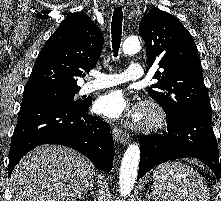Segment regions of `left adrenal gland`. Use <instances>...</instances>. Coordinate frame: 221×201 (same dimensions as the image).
Wrapping results in <instances>:
<instances>
[{"label": "left adrenal gland", "mask_w": 221, "mask_h": 201, "mask_svg": "<svg viewBox=\"0 0 221 201\" xmlns=\"http://www.w3.org/2000/svg\"><path fill=\"white\" fill-rule=\"evenodd\" d=\"M149 198H153V195H152V194L148 195V199H149Z\"/></svg>", "instance_id": "obj_1"}]
</instances>
